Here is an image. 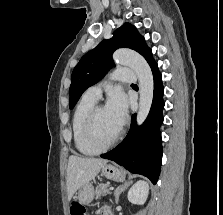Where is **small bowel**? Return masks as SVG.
Listing matches in <instances>:
<instances>
[{
	"instance_id": "obj_1",
	"label": "small bowel",
	"mask_w": 223,
	"mask_h": 215,
	"mask_svg": "<svg viewBox=\"0 0 223 215\" xmlns=\"http://www.w3.org/2000/svg\"><path fill=\"white\" fill-rule=\"evenodd\" d=\"M101 212L103 215H111L110 210L108 208H102Z\"/></svg>"
}]
</instances>
